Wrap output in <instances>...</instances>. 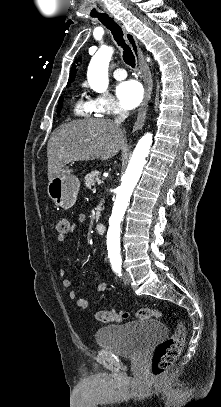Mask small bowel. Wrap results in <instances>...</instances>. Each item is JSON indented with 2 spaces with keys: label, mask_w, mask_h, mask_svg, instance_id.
<instances>
[{
  "label": "small bowel",
  "mask_w": 221,
  "mask_h": 407,
  "mask_svg": "<svg viewBox=\"0 0 221 407\" xmlns=\"http://www.w3.org/2000/svg\"><path fill=\"white\" fill-rule=\"evenodd\" d=\"M86 222V217L85 215L81 214L77 218V224L78 225H83ZM75 231V227L71 229V233ZM67 236H58L56 239V243L60 244L66 240ZM59 275L62 277V287L65 289H70L71 288V281L69 279L64 278L65 277V270L61 268L59 270ZM108 285L106 282H100L97 285V291L98 292H104L107 289ZM68 296L72 300H76V305L79 309H87L88 308V301L84 298H78L77 293L75 291H70L68 293Z\"/></svg>",
  "instance_id": "obj_1"
}]
</instances>
